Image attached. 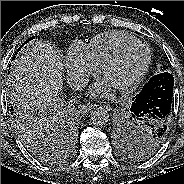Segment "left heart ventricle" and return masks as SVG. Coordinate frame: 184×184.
Segmentation results:
<instances>
[{"instance_id": "b2bd125f", "label": "left heart ventricle", "mask_w": 184, "mask_h": 184, "mask_svg": "<svg viewBox=\"0 0 184 184\" xmlns=\"http://www.w3.org/2000/svg\"><path fill=\"white\" fill-rule=\"evenodd\" d=\"M146 56L147 52L143 47L128 50L106 69L103 73L104 80L114 88L127 83L139 72Z\"/></svg>"}]
</instances>
